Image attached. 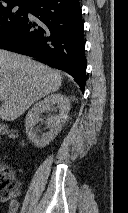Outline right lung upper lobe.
Masks as SVG:
<instances>
[{
    "label": "right lung upper lobe",
    "mask_w": 128,
    "mask_h": 213,
    "mask_svg": "<svg viewBox=\"0 0 128 213\" xmlns=\"http://www.w3.org/2000/svg\"><path fill=\"white\" fill-rule=\"evenodd\" d=\"M36 0H0V6L9 4L31 5Z\"/></svg>",
    "instance_id": "right-lung-upper-lobe-1"
}]
</instances>
